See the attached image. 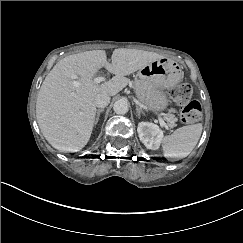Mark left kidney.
I'll use <instances>...</instances> for the list:
<instances>
[{"mask_svg": "<svg viewBox=\"0 0 243 243\" xmlns=\"http://www.w3.org/2000/svg\"><path fill=\"white\" fill-rule=\"evenodd\" d=\"M137 132L141 142L149 149L156 150L162 141V131L153 123L140 122Z\"/></svg>", "mask_w": 243, "mask_h": 243, "instance_id": "left-kidney-1", "label": "left kidney"}]
</instances>
